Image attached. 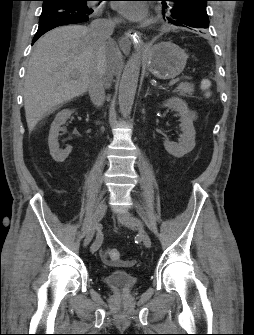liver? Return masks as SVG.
<instances>
[{
  "label": "liver",
  "instance_id": "liver-1",
  "mask_svg": "<svg viewBox=\"0 0 254 335\" xmlns=\"http://www.w3.org/2000/svg\"><path fill=\"white\" fill-rule=\"evenodd\" d=\"M89 28L69 25L41 37L31 54L24 82V109L29 131L50 111L83 95L99 60L112 80L121 53L113 40L94 43Z\"/></svg>",
  "mask_w": 254,
  "mask_h": 335
}]
</instances>
